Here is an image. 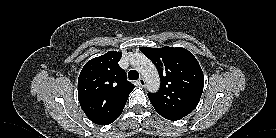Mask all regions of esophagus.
I'll use <instances>...</instances> for the list:
<instances>
[{"label":"esophagus","instance_id":"esophagus-1","mask_svg":"<svg viewBox=\"0 0 276 138\" xmlns=\"http://www.w3.org/2000/svg\"><path fill=\"white\" fill-rule=\"evenodd\" d=\"M138 84H139V86H141V87H145V80H144L143 77H141V78L138 80Z\"/></svg>","mask_w":276,"mask_h":138}]
</instances>
